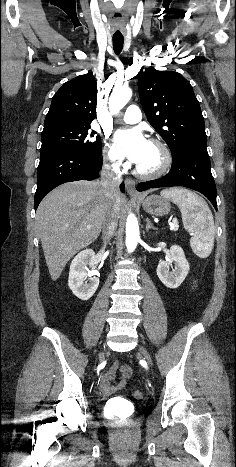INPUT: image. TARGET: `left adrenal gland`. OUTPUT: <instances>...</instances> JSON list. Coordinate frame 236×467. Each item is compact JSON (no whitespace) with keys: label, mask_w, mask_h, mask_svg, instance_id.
<instances>
[{"label":"left adrenal gland","mask_w":236,"mask_h":467,"mask_svg":"<svg viewBox=\"0 0 236 467\" xmlns=\"http://www.w3.org/2000/svg\"><path fill=\"white\" fill-rule=\"evenodd\" d=\"M146 222H147V225H146L147 232H149L150 229L157 230V228H155L153 224L150 222L149 218L146 219Z\"/></svg>","instance_id":"obj_1"}]
</instances>
